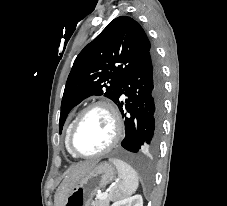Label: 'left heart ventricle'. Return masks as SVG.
I'll list each match as a JSON object with an SVG mask.
<instances>
[{
    "label": "left heart ventricle",
    "instance_id": "1",
    "mask_svg": "<svg viewBox=\"0 0 227 206\" xmlns=\"http://www.w3.org/2000/svg\"><path fill=\"white\" fill-rule=\"evenodd\" d=\"M113 123L103 108L88 112L74 136V148L81 154H93L105 148L113 137Z\"/></svg>",
    "mask_w": 227,
    "mask_h": 206
}]
</instances>
